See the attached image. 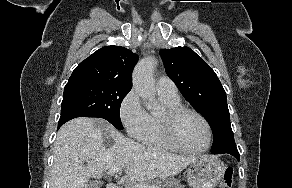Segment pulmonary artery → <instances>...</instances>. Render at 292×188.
Here are the masks:
<instances>
[{"label":"pulmonary artery","mask_w":292,"mask_h":188,"mask_svg":"<svg viewBox=\"0 0 292 188\" xmlns=\"http://www.w3.org/2000/svg\"><path fill=\"white\" fill-rule=\"evenodd\" d=\"M157 92L168 97H177L178 90L175 83L168 77L162 76L157 80Z\"/></svg>","instance_id":"e3ab8cb5"}]
</instances>
